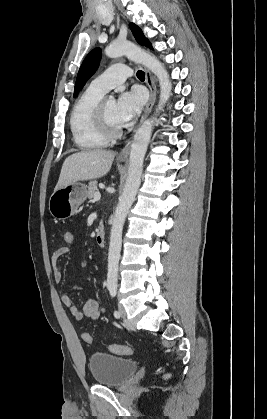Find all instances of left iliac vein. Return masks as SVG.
Listing matches in <instances>:
<instances>
[{"label": "left iliac vein", "mask_w": 267, "mask_h": 419, "mask_svg": "<svg viewBox=\"0 0 267 419\" xmlns=\"http://www.w3.org/2000/svg\"><path fill=\"white\" fill-rule=\"evenodd\" d=\"M119 313L124 319V322L127 326H131L130 322L126 319V311L122 305H119Z\"/></svg>", "instance_id": "obj_1"}]
</instances>
